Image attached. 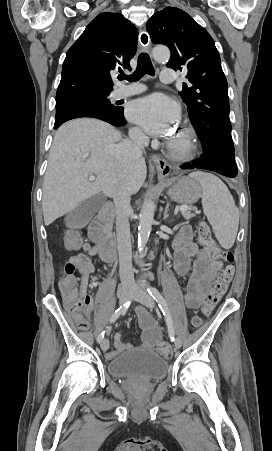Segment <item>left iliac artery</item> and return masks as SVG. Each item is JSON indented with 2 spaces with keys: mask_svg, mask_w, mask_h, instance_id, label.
Segmentation results:
<instances>
[{
  "mask_svg": "<svg viewBox=\"0 0 272 451\" xmlns=\"http://www.w3.org/2000/svg\"><path fill=\"white\" fill-rule=\"evenodd\" d=\"M147 291L153 297V299L158 303V306H159L161 312L165 316L170 340L172 342L175 341V331H174V327H173L172 317H171L168 305H167L164 297L154 287H151V286L148 287Z\"/></svg>",
  "mask_w": 272,
  "mask_h": 451,
  "instance_id": "44dca946",
  "label": "left iliac artery"
}]
</instances>
